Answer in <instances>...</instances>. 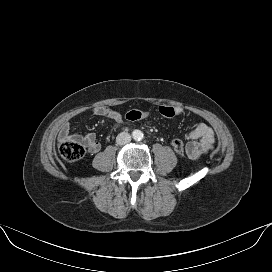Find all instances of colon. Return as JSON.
Instances as JSON below:
<instances>
[{"instance_id": "5ec220e1", "label": "colon", "mask_w": 272, "mask_h": 272, "mask_svg": "<svg viewBox=\"0 0 272 272\" xmlns=\"http://www.w3.org/2000/svg\"><path fill=\"white\" fill-rule=\"evenodd\" d=\"M158 111H159V114L165 118H172L176 115L175 108L168 105L160 106ZM125 117L128 121L138 122L141 120L149 119L151 117V113L147 110L133 109L128 111ZM172 147L178 155L184 154V143L181 140L175 139L172 142ZM58 150H59L60 156L64 160L69 162L78 161L85 154L84 145L73 140H66V141L60 142L58 145Z\"/></svg>"}]
</instances>
